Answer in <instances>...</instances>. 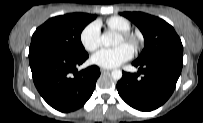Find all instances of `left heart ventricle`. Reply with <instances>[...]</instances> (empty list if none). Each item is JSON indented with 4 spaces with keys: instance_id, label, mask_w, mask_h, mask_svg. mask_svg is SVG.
Instances as JSON below:
<instances>
[{
    "instance_id": "left-heart-ventricle-1",
    "label": "left heart ventricle",
    "mask_w": 203,
    "mask_h": 123,
    "mask_svg": "<svg viewBox=\"0 0 203 123\" xmlns=\"http://www.w3.org/2000/svg\"><path fill=\"white\" fill-rule=\"evenodd\" d=\"M120 44H127L124 42V40L122 39V37L120 35L117 36V39L115 41V45H120ZM128 46H130L129 44H127Z\"/></svg>"
}]
</instances>
